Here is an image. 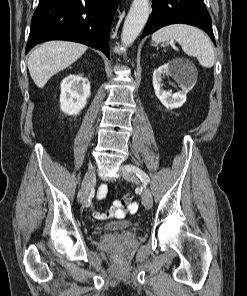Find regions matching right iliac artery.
<instances>
[{
  "mask_svg": "<svg viewBox=\"0 0 247 296\" xmlns=\"http://www.w3.org/2000/svg\"><path fill=\"white\" fill-rule=\"evenodd\" d=\"M80 195H81V192H79L78 197H80Z\"/></svg>",
  "mask_w": 247,
  "mask_h": 296,
  "instance_id": "obj_1",
  "label": "right iliac artery"
}]
</instances>
